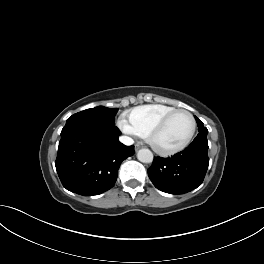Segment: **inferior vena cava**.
<instances>
[{
  "mask_svg": "<svg viewBox=\"0 0 264 264\" xmlns=\"http://www.w3.org/2000/svg\"><path fill=\"white\" fill-rule=\"evenodd\" d=\"M119 141L123 143L124 145L130 146L134 143V140L128 136H121L119 138Z\"/></svg>",
  "mask_w": 264,
  "mask_h": 264,
  "instance_id": "inferior-vena-cava-1",
  "label": "inferior vena cava"
}]
</instances>
